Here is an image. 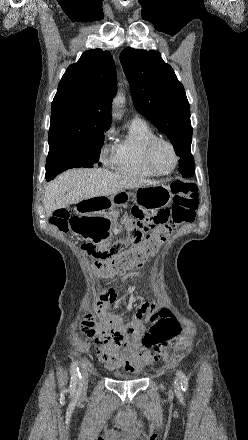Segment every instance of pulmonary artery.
Wrapping results in <instances>:
<instances>
[{
    "label": "pulmonary artery",
    "instance_id": "1",
    "mask_svg": "<svg viewBox=\"0 0 248 440\" xmlns=\"http://www.w3.org/2000/svg\"><path fill=\"white\" fill-rule=\"evenodd\" d=\"M133 120H141V121H143V119H141V118L138 117V116H135Z\"/></svg>",
    "mask_w": 248,
    "mask_h": 440
}]
</instances>
